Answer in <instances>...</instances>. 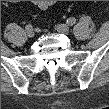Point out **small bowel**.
Instances as JSON below:
<instances>
[{"mask_svg": "<svg viewBox=\"0 0 109 109\" xmlns=\"http://www.w3.org/2000/svg\"><path fill=\"white\" fill-rule=\"evenodd\" d=\"M36 5L38 8L45 10V9H48L52 5V1H37Z\"/></svg>", "mask_w": 109, "mask_h": 109, "instance_id": "obj_1", "label": "small bowel"}]
</instances>
